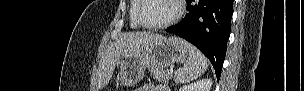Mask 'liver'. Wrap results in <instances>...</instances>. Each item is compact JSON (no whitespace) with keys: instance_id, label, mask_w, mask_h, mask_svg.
Segmentation results:
<instances>
[{"instance_id":"liver-1","label":"liver","mask_w":304,"mask_h":91,"mask_svg":"<svg viewBox=\"0 0 304 91\" xmlns=\"http://www.w3.org/2000/svg\"><path fill=\"white\" fill-rule=\"evenodd\" d=\"M158 34L126 33L117 38L105 51L99 65L98 86L104 88L112 78L118 60L125 53L136 51L145 46L150 39Z\"/></svg>"}]
</instances>
